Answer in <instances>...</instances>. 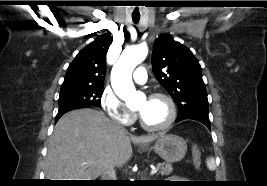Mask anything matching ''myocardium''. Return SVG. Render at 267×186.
Listing matches in <instances>:
<instances>
[{"instance_id": "myocardium-1", "label": "myocardium", "mask_w": 267, "mask_h": 186, "mask_svg": "<svg viewBox=\"0 0 267 186\" xmlns=\"http://www.w3.org/2000/svg\"><path fill=\"white\" fill-rule=\"evenodd\" d=\"M149 98L163 99L169 107V115H168L167 120L159 126H150V125L146 124L143 121V119L141 118V116L138 115V120H139L140 126L144 130L149 131V132H159V131H164V130L168 129L174 123L176 116H177V109H176V105H175L173 99L169 95L162 93V92L152 93Z\"/></svg>"}]
</instances>
